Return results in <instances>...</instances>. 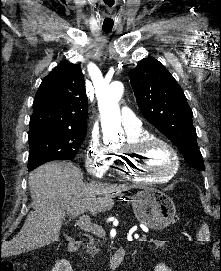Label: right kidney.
Segmentation results:
<instances>
[{
    "mask_svg": "<svg viewBox=\"0 0 221 271\" xmlns=\"http://www.w3.org/2000/svg\"><path fill=\"white\" fill-rule=\"evenodd\" d=\"M51 271H73L68 259H57Z\"/></svg>",
    "mask_w": 221,
    "mask_h": 271,
    "instance_id": "right-kidney-1",
    "label": "right kidney"
}]
</instances>
